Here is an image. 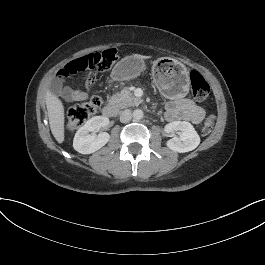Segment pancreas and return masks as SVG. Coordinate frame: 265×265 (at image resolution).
I'll list each match as a JSON object with an SVG mask.
<instances>
[{
    "mask_svg": "<svg viewBox=\"0 0 265 265\" xmlns=\"http://www.w3.org/2000/svg\"><path fill=\"white\" fill-rule=\"evenodd\" d=\"M112 99L121 109L136 106L143 102L141 98L135 97L127 89H122L121 92L114 94Z\"/></svg>",
    "mask_w": 265,
    "mask_h": 265,
    "instance_id": "obj_1",
    "label": "pancreas"
}]
</instances>
